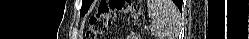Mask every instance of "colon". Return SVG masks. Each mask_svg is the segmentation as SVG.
Masks as SVG:
<instances>
[{"instance_id": "1", "label": "colon", "mask_w": 249, "mask_h": 39, "mask_svg": "<svg viewBox=\"0 0 249 39\" xmlns=\"http://www.w3.org/2000/svg\"><path fill=\"white\" fill-rule=\"evenodd\" d=\"M136 4V1L124 0L100 2L96 12L89 18L86 38L96 39L104 36L118 13H129L133 20H137L140 17L141 12Z\"/></svg>"}]
</instances>
